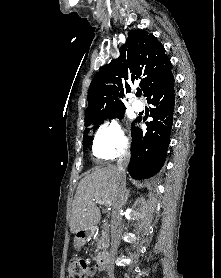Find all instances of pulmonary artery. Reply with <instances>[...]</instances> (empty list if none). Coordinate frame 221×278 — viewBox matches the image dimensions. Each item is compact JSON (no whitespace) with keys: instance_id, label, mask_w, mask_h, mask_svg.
<instances>
[{"instance_id":"pulmonary-artery-1","label":"pulmonary artery","mask_w":221,"mask_h":278,"mask_svg":"<svg viewBox=\"0 0 221 278\" xmlns=\"http://www.w3.org/2000/svg\"><path fill=\"white\" fill-rule=\"evenodd\" d=\"M132 107L135 111H141L143 110V103L141 101H138V100H134L132 102Z\"/></svg>"}]
</instances>
